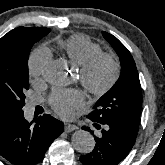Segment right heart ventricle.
<instances>
[{"label": "right heart ventricle", "mask_w": 165, "mask_h": 165, "mask_svg": "<svg viewBox=\"0 0 165 165\" xmlns=\"http://www.w3.org/2000/svg\"><path fill=\"white\" fill-rule=\"evenodd\" d=\"M58 47L72 64L79 67L92 56L101 52V46L98 43L93 42L82 34H74L58 41Z\"/></svg>", "instance_id": "right-heart-ventricle-1"}]
</instances>
